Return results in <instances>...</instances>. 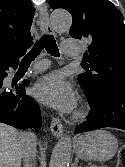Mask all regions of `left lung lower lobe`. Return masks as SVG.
<instances>
[{
  "label": "left lung lower lobe",
  "instance_id": "obj_1",
  "mask_svg": "<svg viewBox=\"0 0 125 167\" xmlns=\"http://www.w3.org/2000/svg\"><path fill=\"white\" fill-rule=\"evenodd\" d=\"M90 118L77 126L74 134L114 127L125 130V88L103 89L96 98L89 101Z\"/></svg>",
  "mask_w": 125,
  "mask_h": 167
}]
</instances>
